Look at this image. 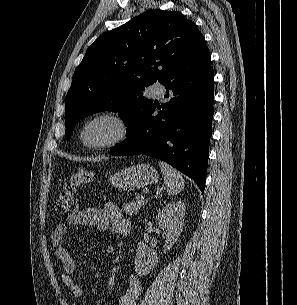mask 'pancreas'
Wrapping results in <instances>:
<instances>
[{
	"instance_id": "obj_1",
	"label": "pancreas",
	"mask_w": 297,
	"mask_h": 305,
	"mask_svg": "<svg viewBox=\"0 0 297 305\" xmlns=\"http://www.w3.org/2000/svg\"><path fill=\"white\" fill-rule=\"evenodd\" d=\"M141 196H137L135 201L126 203L123 205V211L125 214L130 216H135L140 210V207L144 204V202H141V204H138V200Z\"/></svg>"
}]
</instances>
